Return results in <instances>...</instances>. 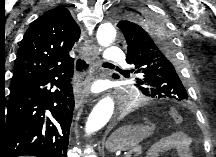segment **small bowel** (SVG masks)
<instances>
[{"instance_id":"small-bowel-1","label":"small bowel","mask_w":216,"mask_h":157,"mask_svg":"<svg viewBox=\"0 0 216 157\" xmlns=\"http://www.w3.org/2000/svg\"><path fill=\"white\" fill-rule=\"evenodd\" d=\"M175 150L179 157H192L193 156V140L191 137L183 132H173L164 143L162 153Z\"/></svg>"}]
</instances>
